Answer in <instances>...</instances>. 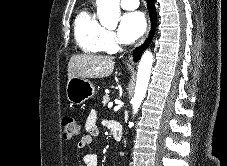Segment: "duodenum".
<instances>
[{
    "label": "duodenum",
    "mask_w": 227,
    "mask_h": 166,
    "mask_svg": "<svg viewBox=\"0 0 227 166\" xmlns=\"http://www.w3.org/2000/svg\"><path fill=\"white\" fill-rule=\"evenodd\" d=\"M110 128L114 139L117 141H120L123 134V129L121 124L117 120H112L110 122Z\"/></svg>",
    "instance_id": "duodenum-1"
}]
</instances>
